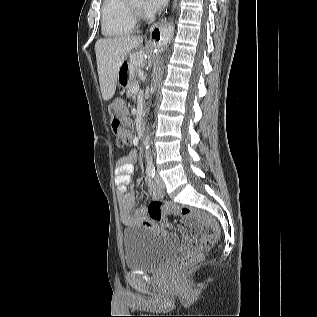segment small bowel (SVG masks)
Segmentation results:
<instances>
[{
	"instance_id": "c3829d8e",
	"label": "small bowel",
	"mask_w": 317,
	"mask_h": 317,
	"mask_svg": "<svg viewBox=\"0 0 317 317\" xmlns=\"http://www.w3.org/2000/svg\"><path fill=\"white\" fill-rule=\"evenodd\" d=\"M134 159L135 154L133 153L121 158L117 163L115 171V184L119 195L121 220L126 225L143 224L165 234L166 230L164 227L156 226L154 222L149 220L146 207L134 210L137 201L136 194L132 189L128 190V186L131 182V175L133 173ZM149 191L153 198H160L163 195V192L156 188L152 183H149ZM182 234L186 237L184 231H182Z\"/></svg>"
}]
</instances>
